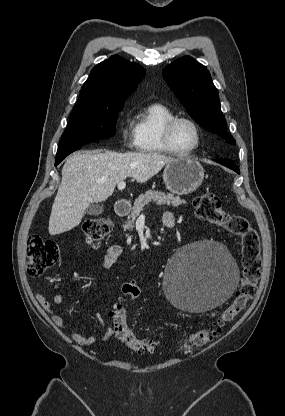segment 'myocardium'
<instances>
[{"instance_id": "1", "label": "myocardium", "mask_w": 285, "mask_h": 416, "mask_svg": "<svg viewBox=\"0 0 285 416\" xmlns=\"http://www.w3.org/2000/svg\"><path fill=\"white\" fill-rule=\"evenodd\" d=\"M179 121H186L190 123L196 132V137H197L196 145L189 150H179L173 144L172 131L176 123ZM162 139H163L164 146L169 153L175 156H189V155L196 153L201 147L202 133H201L199 124L194 119L185 115H175L171 117L169 120H167L166 123L164 124L163 130H162Z\"/></svg>"}]
</instances>
